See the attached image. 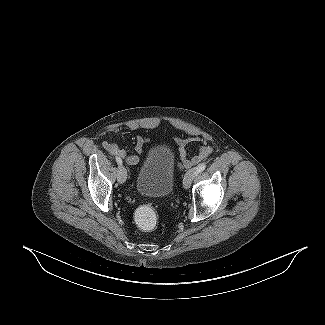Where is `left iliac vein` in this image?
I'll use <instances>...</instances> for the list:
<instances>
[{
    "mask_svg": "<svg viewBox=\"0 0 325 325\" xmlns=\"http://www.w3.org/2000/svg\"><path fill=\"white\" fill-rule=\"evenodd\" d=\"M195 172H196V169H191L185 174V176L183 178V187L185 189H188L190 187L192 181L194 180V178L196 176Z\"/></svg>",
    "mask_w": 325,
    "mask_h": 325,
    "instance_id": "obj_1",
    "label": "left iliac vein"
}]
</instances>
